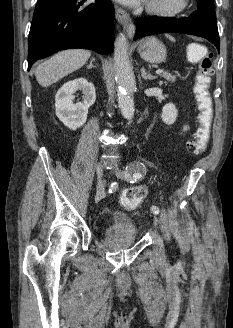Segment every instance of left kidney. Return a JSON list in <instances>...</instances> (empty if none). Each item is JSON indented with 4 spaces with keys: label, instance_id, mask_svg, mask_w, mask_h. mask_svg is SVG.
Wrapping results in <instances>:
<instances>
[{
    "label": "left kidney",
    "instance_id": "5707ae66",
    "mask_svg": "<svg viewBox=\"0 0 233 328\" xmlns=\"http://www.w3.org/2000/svg\"><path fill=\"white\" fill-rule=\"evenodd\" d=\"M177 114L178 111L173 103L166 104L162 109V121L167 125H171L176 121Z\"/></svg>",
    "mask_w": 233,
    "mask_h": 328
}]
</instances>
